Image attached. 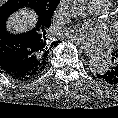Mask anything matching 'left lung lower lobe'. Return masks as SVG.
<instances>
[{
  "instance_id": "1",
  "label": "left lung lower lobe",
  "mask_w": 118,
  "mask_h": 118,
  "mask_svg": "<svg viewBox=\"0 0 118 118\" xmlns=\"http://www.w3.org/2000/svg\"><path fill=\"white\" fill-rule=\"evenodd\" d=\"M111 64L105 72L97 74V77L110 84H118V52L112 53Z\"/></svg>"
}]
</instances>
